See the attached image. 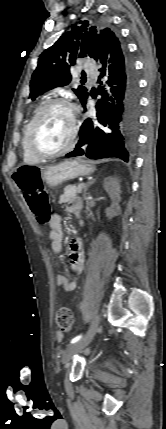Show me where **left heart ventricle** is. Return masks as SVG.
I'll return each mask as SVG.
<instances>
[{"label":"left heart ventricle","mask_w":166,"mask_h":429,"mask_svg":"<svg viewBox=\"0 0 166 429\" xmlns=\"http://www.w3.org/2000/svg\"><path fill=\"white\" fill-rule=\"evenodd\" d=\"M71 115L65 106H54L41 118L34 135L35 147L52 153L64 147L70 136Z\"/></svg>","instance_id":"1"}]
</instances>
